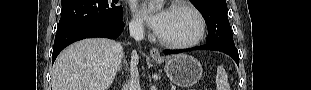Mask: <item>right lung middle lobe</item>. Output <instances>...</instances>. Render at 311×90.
<instances>
[{
  "label": "right lung middle lobe",
  "instance_id": "obj_1",
  "mask_svg": "<svg viewBox=\"0 0 311 90\" xmlns=\"http://www.w3.org/2000/svg\"><path fill=\"white\" fill-rule=\"evenodd\" d=\"M118 0H62V15L58 29L91 21L118 22L123 19V8Z\"/></svg>",
  "mask_w": 311,
  "mask_h": 90
}]
</instances>
